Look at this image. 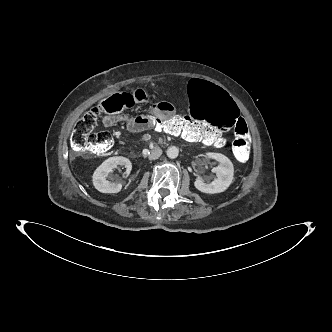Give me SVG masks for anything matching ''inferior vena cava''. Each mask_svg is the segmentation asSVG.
I'll list each match as a JSON object with an SVG mask.
<instances>
[{
	"mask_svg": "<svg viewBox=\"0 0 332 332\" xmlns=\"http://www.w3.org/2000/svg\"><path fill=\"white\" fill-rule=\"evenodd\" d=\"M162 154V149L161 148H157L155 150H153L151 152V154L149 155V160H155V159H158Z\"/></svg>",
	"mask_w": 332,
	"mask_h": 332,
	"instance_id": "602c4592",
	"label": "inferior vena cava"
}]
</instances>
